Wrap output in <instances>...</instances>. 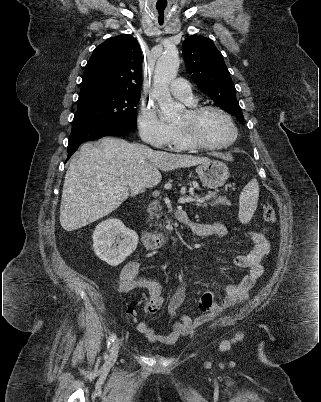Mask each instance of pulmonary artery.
Instances as JSON below:
<instances>
[{
    "mask_svg": "<svg viewBox=\"0 0 321 402\" xmlns=\"http://www.w3.org/2000/svg\"><path fill=\"white\" fill-rule=\"evenodd\" d=\"M170 92L188 105H192L196 102L191 86L182 78H177L172 81L170 85Z\"/></svg>",
    "mask_w": 321,
    "mask_h": 402,
    "instance_id": "obj_1",
    "label": "pulmonary artery"
}]
</instances>
